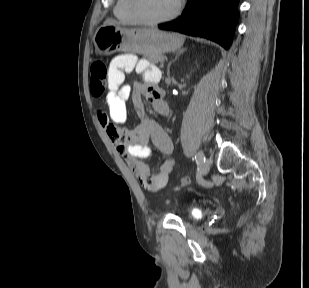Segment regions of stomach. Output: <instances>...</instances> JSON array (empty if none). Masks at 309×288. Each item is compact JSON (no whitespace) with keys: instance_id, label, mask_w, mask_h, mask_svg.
I'll use <instances>...</instances> for the list:
<instances>
[{"instance_id":"obj_1","label":"stomach","mask_w":309,"mask_h":288,"mask_svg":"<svg viewBox=\"0 0 309 288\" xmlns=\"http://www.w3.org/2000/svg\"><path fill=\"white\" fill-rule=\"evenodd\" d=\"M184 40V36L178 33L125 28L113 23H104L93 37L95 50L100 55L126 52L147 57L175 51L183 45Z\"/></svg>"}]
</instances>
